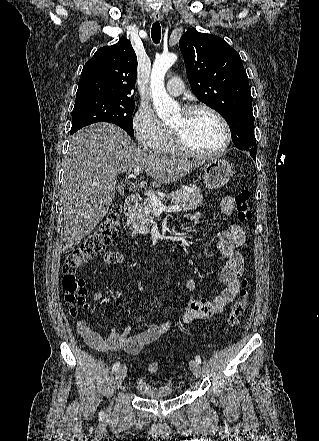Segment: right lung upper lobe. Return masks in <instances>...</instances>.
<instances>
[{
  "instance_id": "obj_1",
  "label": "right lung upper lobe",
  "mask_w": 319,
  "mask_h": 441,
  "mask_svg": "<svg viewBox=\"0 0 319 441\" xmlns=\"http://www.w3.org/2000/svg\"><path fill=\"white\" fill-rule=\"evenodd\" d=\"M137 57L127 38L98 49L83 67L76 99L91 97L133 100Z\"/></svg>"
}]
</instances>
